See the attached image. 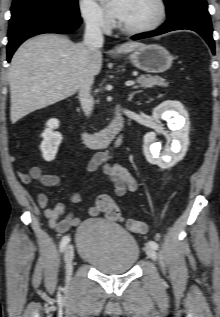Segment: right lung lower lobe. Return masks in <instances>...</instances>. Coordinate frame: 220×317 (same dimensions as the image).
<instances>
[{"mask_svg":"<svg viewBox=\"0 0 220 317\" xmlns=\"http://www.w3.org/2000/svg\"><path fill=\"white\" fill-rule=\"evenodd\" d=\"M82 20L80 16L51 11H36L10 19L8 31L7 60L26 39L41 33L66 34L77 29Z\"/></svg>","mask_w":220,"mask_h":317,"instance_id":"98d812e1","label":"right lung lower lobe"}]
</instances>
